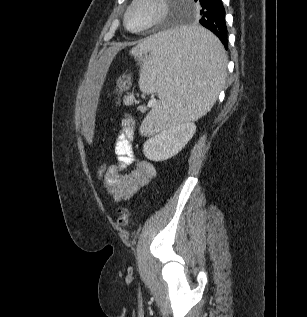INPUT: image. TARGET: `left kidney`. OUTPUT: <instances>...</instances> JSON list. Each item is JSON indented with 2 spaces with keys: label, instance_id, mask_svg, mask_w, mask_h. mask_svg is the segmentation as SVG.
Instances as JSON below:
<instances>
[{
  "label": "left kidney",
  "instance_id": "left-kidney-1",
  "mask_svg": "<svg viewBox=\"0 0 307 317\" xmlns=\"http://www.w3.org/2000/svg\"><path fill=\"white\" fill-rule=\"evenodd\" d=\"M196 125L193 122L177 123L149 138L143 146L145 156L152 161H164L178 154L193 137Z\"/></svg>",
  "mask_w": 307,
  "mask_h": 317
}]
</instances>
